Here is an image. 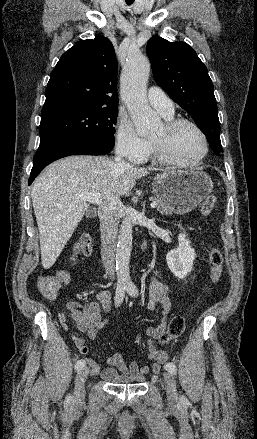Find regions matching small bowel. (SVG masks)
<instances>
[{
  "mask_svg": "<svg viewBox=\"0 0 257 439\" xmlns=\"http://www.w3.org/2000/svg\"><path fill=\"white\" fill-rule=\"evenodd\" d=\"M169 287L159 281L156 277L151 278L148 308L155 310L157 307H162L166 316L171 311V301L169 298ZM66 308L68 313H61L59 320L62 324H66L68 318H71L75 324L77 331L80 333L75 338V346L78 352L86 355L89 352V347L85 343L84 335H89L95 338L98 331L102 329L107 321H101L100 312L104 310L109 312L111 310V294L109 291H101L96 296V301H90L85 304L71 301L67 303ZM167 322H163L158 326L148 327L146 330L147 351L148 358L155 362L153 365L154 371L160 370V365L165 363L168 359L167 352L159 350L154 345V340L158 339L162 332L165 331ZM88 366L91 375H100L102 379L114 383H130V382H144L149 373V368L145 365H138L137 363L126 364L121 353L116 352L111 356L106 357L107 368L101 370L98 363L91 359H83Z\"/></svg>",
  "mask_w": 257,
  "mask_h": 439,
  "instance_id": "obj_1",
  "label": "small bowel"
}]
</instances>
